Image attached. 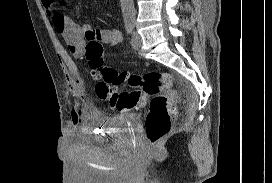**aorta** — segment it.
I'll list each match as a JSON object with an SVG mask.
<instances>
[{"label":"aorta","mask_w":272,"mask_h":183,"mask_svg":"<svg viewBox=\"0 0 272 183\" xmlns=\"http://www.w3.org/2000/svg\"><path fill=\"white\" fill-rule=\"evenodd\" d=\"M123 20L125 24L135 23L134 0H120Z\"/></svg>","instance_id":"762f6f07"}]
</instances>
